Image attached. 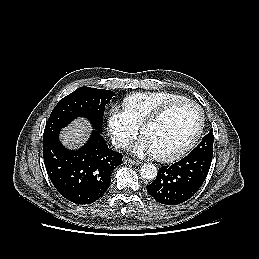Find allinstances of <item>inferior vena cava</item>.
<instances>
[{
	"mask_svg": "<svg viewBox=\"0 0 259 259\" xmlns=\"http://www.w3.org/2000/svg\"><path fill=\"white\" fill-rule=\"evenodd\" d=\"M129 142L126 139L118 140L115 142V147L117 148H126L128 147Z\"/></svg>",
	"mask_w": 259,
	"mask_h": 259,
	"instance_id": "602c4592",
	"label": "inferior vena cava"
}]
</instances>
